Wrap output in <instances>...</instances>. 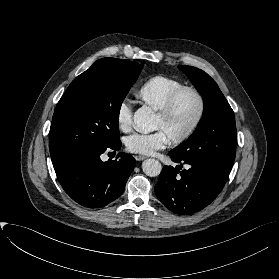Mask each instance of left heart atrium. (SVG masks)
<instances>
[{"mask_svg":"<svg viewBox=\"0 0 279 279\" xmlns=\"http://www.w3.org/2000/svg\"><path fill=\"white\" fill-rule=\"evenodd\" d=\"M169 139L162 130L152 133H134L125 140L126 148L129 152L141 155H152L156 151L163 149Z\"/></svg>","mask_w":279,"mask_h":279,"instance_id":"39dd6f15","label":"left heart atrium"}]
</instances>
